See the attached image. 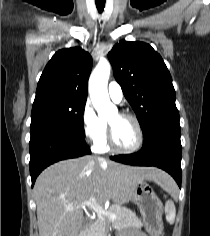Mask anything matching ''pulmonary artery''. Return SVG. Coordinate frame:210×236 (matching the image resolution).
<instances>
[{
    "label": "pulmonary artery",
    "instance_id": "obj_1",
    "mask_svg": "<svg viewBox=\"0 0 210 236\" xmlns=\"http://www.w3.org/2000/svg\"><path fill=\"white\" fill-rule=\"evenodd\" d=\"M108 95L116 103H119L123 98V91L117 82H111L108 86Z\"/></svg>",
    "mask_w": 210,
    "mask_h": 236
}]
</instances>
